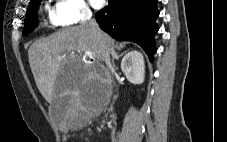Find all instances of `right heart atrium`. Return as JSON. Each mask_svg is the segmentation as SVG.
Returning <instances> with one entry per match:
<instances>
[{
  "label": "right heart atrium",
  "mask_w": 227,
  "mask_h": 142,
  "mask_svg": "<svg viewBox=\"0 0 227 142\" xmlns=\"http://www.w3.org/2000/svg\"><path fill=\"white\" fill-rule=\"evenodd\" d=\"M54 15L60 25H76L92 18V12L84 0H57Z\"/></svg>",
  "instance_id": "obj_1"
}]
</instances>
